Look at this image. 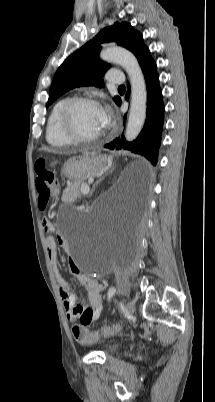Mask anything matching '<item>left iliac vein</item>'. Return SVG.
Instances as JSON below:
<instances>
[{
	"label": "left iliac vein",
	"instance_id": "4c4485c4",
	"mask_svg": "<svg viewBox=\"0 0 215 402\" xmlns=\"http://www.w3.org/2000/svg\"><path fill=\"white\" fill-rule=\"evenodd\" d=\"M135 311V304L133 302H128L125 306V313L132 314Z\"/></svg>",
	"mask_w": 215,
	"mask_h": 402
}]
</instances>
